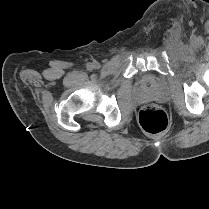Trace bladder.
<instances>
[{"instance_id": "1", "label": "bladder", "mask_w": 209, "mask_h": 209, "mask_svg": "<svg viewBox=\"0 0 209 209\" xmlns=\"http://www.w3.org/2000/svg\"><path fill=\"white\" fill-rule=\"evenodd\" d=\"M150 84H151V82L150 81H145L144 83H143V88L145 89V90H148L149 89V87H150Z\"/></svg>"}]
</instances>
